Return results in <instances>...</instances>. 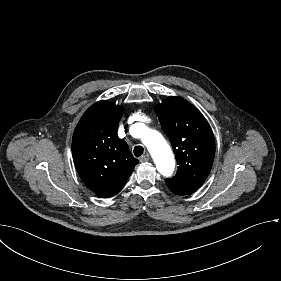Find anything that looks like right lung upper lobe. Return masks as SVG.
<instances>
[{
  "instance_id": "cb5924a9",
  "label": "right lung upper lobe",
  "mask_w": 281,
  "mask_h": 281,
  "mask_svg": "<svg viewBox=\"0 0 281 281\" xmlns=\"http://www.w3.org/2000/svg\"><path fill=\"white\" fill-rule=\"evenodd\" d=\"M122 113L121 106L99 101L84 113L73 134L76 170L85 185L101 198L117 194L138 163L117 134Z\"/></svg>"
}]
</instances>
